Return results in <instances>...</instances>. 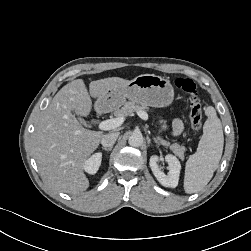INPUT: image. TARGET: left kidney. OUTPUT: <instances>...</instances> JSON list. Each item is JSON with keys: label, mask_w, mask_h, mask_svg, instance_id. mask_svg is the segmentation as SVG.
Returning a JSON list of instances; mask_svg holds the SVG:
<instances>
[{"label": "left kidney", "mask_w": 251, "mask_h": 251, "mask_svg": "<svg viewBox=\"0 0 251 251\" xmlns=\"http://www.w3.org/2000/svg\"><path fill=\"white\" fill-rule=\"evenodd\" d=\"M165 160L168 163L169 172L166 175L163 171L160 170L157 162L159 157L153 155L150 157L149 165L151 170L160 184L165 187L175 188L179 182V175L181 170L180 161L173 155L168 154L165 156Z\"/></svg>", "instance_id": "left-kidney-1"}]
</instances>
